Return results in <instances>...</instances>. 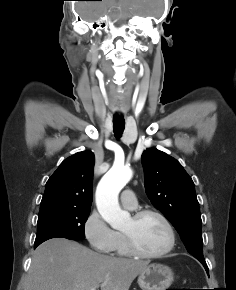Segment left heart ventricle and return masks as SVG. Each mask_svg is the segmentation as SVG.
<instances>
[{"label":"left heart ventricle","mask_w":236,"mask_h":290,"mask_svg":"<svg viewBox=\"0 0 236 290\" xmlns=\"http://www.w3.org/2000/svg\"><path fill=\"white\" fill-rule=\"evenodd\" d=\"M122 232L131 235L137 247L145 253L159 252L169 241L165 225L153 215L145 216L138 221L131 217Z\"/></svg>","instance_id":"left-heart-ventricle-1"}]
</instances>
